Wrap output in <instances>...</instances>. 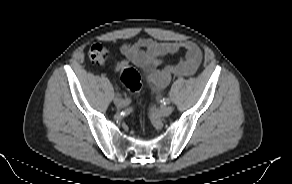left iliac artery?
Masks as SVG:
<instances>
[{"label":"left iliac artery","instance_id":"44dca946","mask_svg":"<svg viewBox=\"0 0 292 184\" xmlns=\"http://www.w3.org/2000/svg\"><path fill=\"white\" fill-rule=\"evenodd\" d=\"M164 105L169 104L170 100L168 98H163V100L161 101Z\"/></svg>","mask_w":292,"mask_h":184}]
</instances>
